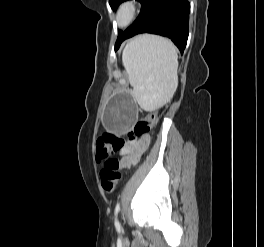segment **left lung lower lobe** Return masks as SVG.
<instances>
[{"label":"left lung lower lobe","instance_id":"obj_1","mask_svg":"<svg viewBox=\"0 0 264 247\" xmlns=\"http://www.w3.org/2000/svg\"><path fill=\"white\" fill-rule=\"evenodd\" d=\"M189 12L187 0H145L136 21L117 38L115 50L124 40L147 32L170 38L183 53L188 38Z\"/></svg>","mask_w":264,"mask_h":247}]
</instances>
